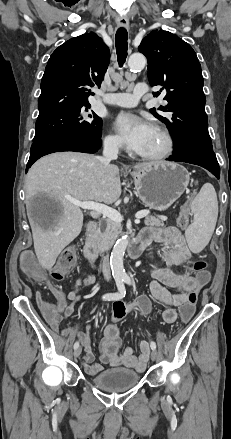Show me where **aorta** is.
Returning <instances> with one entry per match:
<instances>
[{"label":"aorta","mask_w":231,"mask_h":439,"mask_svg":"<svg viewBox=\"0 0 231 439\" xmlns=\"http://www.w3.org/2000/svg\"><path fill=\"white\" fill-rule=\"evenodd\" d=\"M146 65V58L143 54L134 53L128 59V66L131 70L143 69ZM129 238L123 236L115 243L110 257V265L114 278H123L127 274L123 265L125 250L128 246Z\"/></svg>","instance_id":"aorta-1"}]
</instances>
